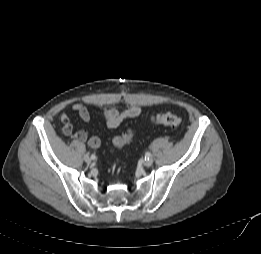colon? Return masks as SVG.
I'll return each mask as SVG.
<instances>
[{"instance_id": "5ec220e1", "label": "colon", "mask_w": 261, "mask_h": 254, "mask_svg": "<svg viewBox=\"0 0 261 254\" xmlns=\"http://www.w3.org/2000/svg\"><path fill=\"white\" fill-rule=\"evenodd\" d=\"M151 123L155 125H162L166 127L176 128L181 124V118L170 112L153 115L150 119ZM134 133L132 130L117 136L113 140V145L116 149H121L129 144L133 139Z\"/></svg>"}]
</instances>
